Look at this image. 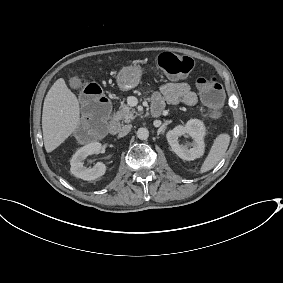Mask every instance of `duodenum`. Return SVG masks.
<instances>
[{
    "label": "duodenum",
    "mask_w": 283,
    "mask_h": 283,
    "mask_svg": "<svg viewBox=\"0 0 283 283\" xmlns=\"http://www.w3.org/2000/svg\"><path fill=\"white\" fill-rule=\"evenodd\" d=\"M107 108V107H106ZM162 107L158 104H153L150 108V113L153 117H159L162 113ZM108 111V109H107ZM120 129L119 122L116 119L111 120L108 126V131L110 134L118 133Z\"/></svg>",
    "instance_id": "obj_1"
}]
</instances>
